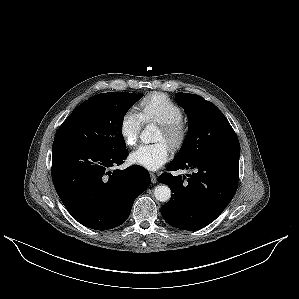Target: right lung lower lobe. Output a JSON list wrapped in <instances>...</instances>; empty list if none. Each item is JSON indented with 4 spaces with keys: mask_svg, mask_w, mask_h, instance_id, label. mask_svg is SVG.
Listing matches in <instances>:
<instances>
[{
    "mask_svg": "<svg viewBox=\"0 0 299 299\" xmlns=\"http://www.w3.org/2000/svg\"><path fill=\"white\" fill-rule=\"evenodd\" d=\"M52 180L68 212L82 225L107 230L124 223L134 200L150 185L139 165L110 171L124 162L128 151H95L67 142L53 144Z\"/></svg>",
    "mask_w": 299,
    "mask_h": 299,
    "instance_id": "right-lung-lower-lobe-1",
    "label": "right lung lower lobe"
}]
</instances>
